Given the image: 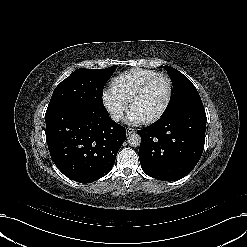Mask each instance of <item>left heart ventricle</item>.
Returning a JSON list of instances; mask_svg holds the SVG:
<instances>
[{
    "label": "left heart ventricle",
    "mask_w": 247,
    "mask_h": 247,
    "mask_svg": "<svg viewBox=\"0 0 247 247\" xmlns=\"http://www.w3.org/2000/svg\"><path fill=\"white\" fill-rule=\"evenodd\" d=\"M167 94V84L165 80L155 81L143 93L136 102L134 112L143 118L156 113L161 108Z\"/></svg>",
    "instance_id": "obj_1"
}]
</instances>
